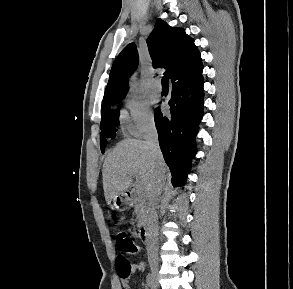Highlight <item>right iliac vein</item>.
<instances>
[{"label": "right iliac vein", "mask_w": 293, "mask_h": 289, "mask_svg": "<svg viewBox=\"0 0 293 289\" xmlns=\"http://www.w3.org/2000/svg\"><path fill=\"white\" fill-rule=\"evenodd\" d=\"M157 266L153 265L151 268V278L153 282V288L152 289H158L159 284H158V270Z\"/></svg>", "instance_id": "63e3f726"}]
</instances>
